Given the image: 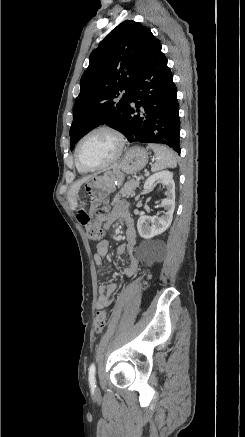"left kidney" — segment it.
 <instances>
[{
	"label": "left kidney",
	"instance_id": "5707ae66",
	"mask_svg": "<svg viewBox=\"0 0 245 437\" xmlns=\"http://www.w3.org/2000/svg\"><path fill=\"white\" fill-rule=\"evenodd\" d=\"M157 180H161L163 186H166V198L161 201L164 208L163 214L159 216H141L137 221V230L139 235L148 240L154 236L162 234L171 225L175 209V183L173 173L170 171H161L151 175L144 184L145 190H152Z\"/></svg>",
	"mask_w": 245,
	"mask_h": 437
}]
</instances>
